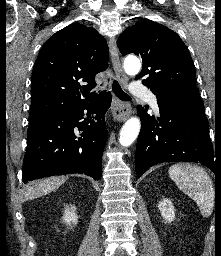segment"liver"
Wrapping results in <instances>:
<instances>
[{
	"instance_id": "obj_1",
	"label": "liver",
	"mask_w": 221,
	"mask_h": 256,
	"mask_svg": "<svg viewBox=\"0 0 221 256\" xmlns=\"http://www.w3.org/2000/svg\"><path fill=\"white\" fill-rule=\"evenodd\" d=\"M66 180L67 177L55 176L30 183L23 188V198L30 200L46 195L59 188Z\"/></svg>"
}]
</instances>
